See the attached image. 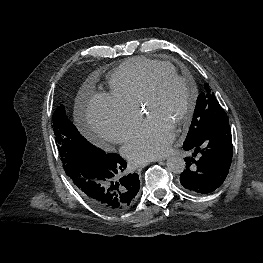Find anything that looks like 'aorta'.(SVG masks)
<instances>
[{"mask_svg": "<svg viewBox=\"0 0 263 263\" xmlns=\"http://www.w3.org/2000/svg\"><path fill=\"white\" fill-rule=\"evenodd\" d=\"M167 169L171 173L180 174L185 169V161L179 156H171L167 160Z\"/></svg>", "mask_w": 263, "mask_h": 263, "instance_id": "aorta-1", "label": "aorta"}]
</instances>
